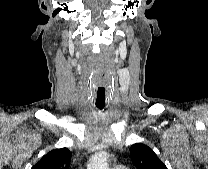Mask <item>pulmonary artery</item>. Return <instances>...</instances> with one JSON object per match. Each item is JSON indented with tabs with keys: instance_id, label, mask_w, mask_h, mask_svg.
<instances>
[{
	"instance_id": "1",
	"label": "pulmonary artery",
	"mask_w": 208,
	"mask_h": 169,
	"mask_svg": "<svg viewBox=\"0 0 208 169\" xmlns=\"http://www.w3.org/2000/svg\"><path fill=\"white\" fill-rule=\"evenodd\" d=\"M112 169H127V166L122 164H117L112 167Z\"/></svg>"
}]
</instances>
